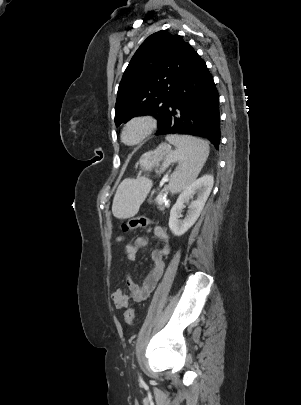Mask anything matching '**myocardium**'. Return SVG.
<instances>
[{"label": "myocardium", "instance_id": "1", "mask_svg": "<svg viewBox=\"0 0 301 405\" xmlns=\"http://www.w3.org/2000/svg\"><path fill=\"white\" fill-rule=\"evenodd\" d=\"M132 127H138L140 132L138 137L132 141L128 142L126 140V133ZM157 127L156 119L151 115H137L130 118L122 127L120 138L121 141L127 146H137L144 142L151 134L155 131Z\"/></svg>", "mask_w": 301, "mask_h": 405}]
</instances>
